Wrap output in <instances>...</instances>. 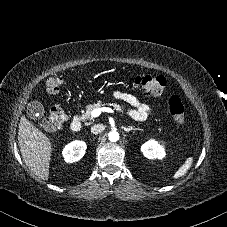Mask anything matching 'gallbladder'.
<instances>
[{"mask_svg":"<svg viewBox=\"0 0 227 227\" xmlns=\"http://www.w3.org/2000/svg\"><path fill=\"white\" fill-rule=\"evenodd\" d=\"M44 113L43 105L38 101H32L27 107V114L31 118H35L36 114H39L41 117Z\"/></svg>","mask_w":227,"mask_h":227,"instance_id":"bac80fb5","label":"gallbladder"}]
</instances>
